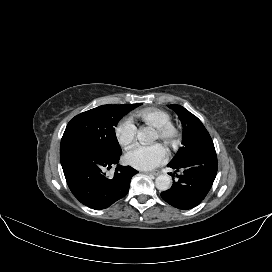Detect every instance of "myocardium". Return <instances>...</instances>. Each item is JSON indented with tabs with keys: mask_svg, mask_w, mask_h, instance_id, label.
Returning a JSON list of instances; mask_svg holds the SVG:
<instances>
[{
	"mask_svg": "<svg viewBox=\"0 0 272 272\" xmlns=\"http://www.w3.org/2000/svg\"><path fill=\"white\" fill-rule=\"evenodd\" d=\"M155 131L159 136V140L170 149L177 147L182 138L181 128L173 122L159 126L155 128Z\"/></svg>",
	"mask_w": 272,
	"mask_h": 272,
	"instance_id": "myocardium-1",
	"label": "myocardium"
}]
</instances>
